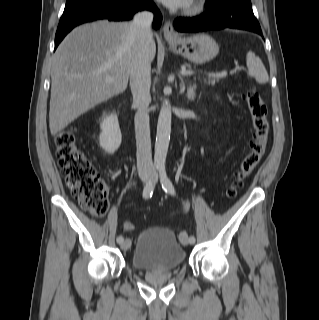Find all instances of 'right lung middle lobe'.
<instances>
[{"label":"right lung middle lobe","mask_w":319,"mask_h":320,"mask_svg":"<svg viewBox=\"0 0 319 320\" xmlns=\"http://www.w3.org/2000/svg\"><path fill=\"white\" fill-rule=\"evenodd\" d=\"M88 1H90V0H67L66 6H65V11L74 9V8L80 6Z\"/></svg>","instance_id":"1"}]
</instances>
